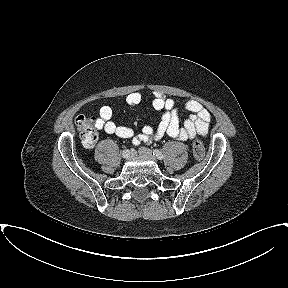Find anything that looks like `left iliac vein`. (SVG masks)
Segmentation results:
<instances>
[{"label":"left iliac vein","instance_id":"left-iliac-vein-1","mask_svg":"<svg viewBox=\"0 0 288 288\" xmlns=\"http://www.w3.org/2000/svg\"><path fill=\"white\" fill-rule=\"evenodd\" d=\"M138 153L140 156L151 159L153 161H156V157L153 155L152 151L145 147H140L138 150Z\"/></svg>","mask_w":288,"mask_h":288}]
</instances>
